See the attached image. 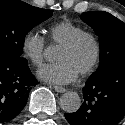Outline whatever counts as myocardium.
Instances as JSON below:
<instances>
[{
	"label": "myocardium",
	"instance_id": "obj_1",
	"mask_svg": "<svg viewBox=\"0 0 125 125\" xmlns=\"http://www.w3.org/2000/svg\"><path fill=\"white\" fill-rule=\"evenodd\" d=\"M86 37L91 39V41L93 42L94 55L89 65L83 71L79 73L81 76H87L91 74L95 70L99 62L100 54H101V45L97 36L90 31H82L74 35L69 40H67L66 42L60 45V47H63L65 49H70L74 47L81 39L86 38Z\"/></svg>",
	"mask_w": 125,
	"mask_h": 125
}]
</instances>
